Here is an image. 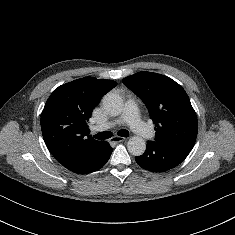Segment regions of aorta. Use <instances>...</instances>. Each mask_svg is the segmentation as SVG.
Listing matches in <instances>:
<instances>
[{
	"mask_svg": "<svg viewBox=\"0 0 235 235\" xmlns=\"http://www.w3.org/2000/svg\"><path fill=\"white\" fill-rule=\"evenodd\" d=\"M104 110L111 116H118L122 113L123 99L116 93H108L102 99ZM129 153L134 156H141L146 150L145 140L139 136H133L127 143Z\"/></svg>",
	"mask_w": 235,
	"mask_h": 235,
	"instance_id": "1",
	"label": "aorta"
}]
</instances>
